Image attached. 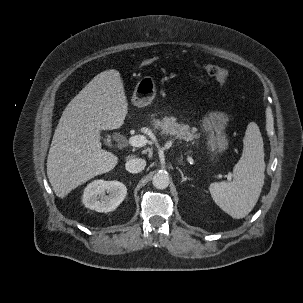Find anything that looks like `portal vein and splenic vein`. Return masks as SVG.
I'll return each instance as SVG.
<instances>
[{
  "label": "portal vein and splenic vein",
  "mask_w": 303,
  "mask_h": 303,
  "mask_svg": "<svg viewBox=\"0 0 303 303\" xmlns=\"http://www.w3.org/2000/svg\"><path fill=\"white\" fill-rule=\"evenodd\" d=\"M128 143L133 147H143L147 143V139L143 135H135L129 138ZM230 180V177H227Z\"/></svg>",
  "instance_id": "1"
}]
</instances>
